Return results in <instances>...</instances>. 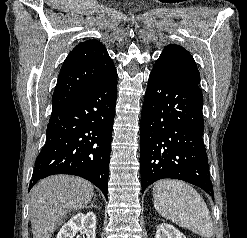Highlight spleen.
<instances>
[{"label":"spleen","instance_id":"obj_1","mask_svg":"<svg viewBox=\"0 0 247 238\" xmlns=\"http://www.w3.org/2000/svg\"><path fill=\"white\" fill-rule=\"evenodd\" d=\"M156 211L205 238L214 234L209 209L201 195L183 181L164 179L153 187Z\"/></svg>","mask_w":247,"mask_h":238}]
</instances>
